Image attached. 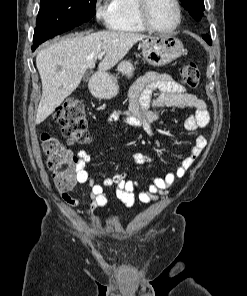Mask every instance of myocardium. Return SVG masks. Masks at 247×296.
<instances>
[{
  "mask_svg": "<svg viewBox=\"0 0 247 296\" xmlns=\"http://www.w3.org/2000/svg\"><path fill=\"white\" fill-rule=\"evenodd\" d=\"M175 8H176V22L173 26L165 29L157 28L155 27L152 22L150 21L149 15H148V8L150 0H137L136 3V12L137 17L140 21V23L149 31L159 33V34H168L173 31H175L182 22V7L179 2V0H172Z\"/></svg>",
  "mask_w": 247,
  "mask_h": 296,
  "instance_id": "1",
  "label": "myocardium"
}]
</instances>
